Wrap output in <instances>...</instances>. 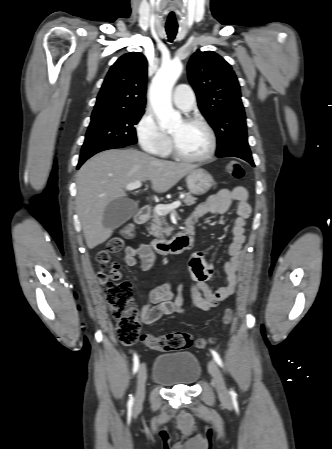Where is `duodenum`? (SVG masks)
<instances>
[{"label":"duodenum","instance_id":"obj_1","mask_svg":"<svg viewBox=\"0 0 332 449\" xmlns=\"http://www.w3.org/2000/svg\"><path fill=\"white\" fill-rule=\"evenodd\" d=\"M149 208L142 206L134 216V222L144 224L149 215ZM194 237V225L190 219L186 220L183 230L170 239H156L152 245L157 253L166 255L169 253H181L192 246Z\"/></svg>","mask_w":332,"mask_h":449}]
</instances>
